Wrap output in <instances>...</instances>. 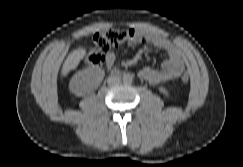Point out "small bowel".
I'll return each mask as SVG.
<instances>
[{"mask_svg":"<svg viewBox=\"0 0 243 167\" xmlns=\"http://www.w3.org/2000/svg\"><path fill=\"white\" fill-rule=\"evenodd\" d=\"M131 38L129 46L149 44L167 54V59L160 68L144 67L139 71V76L152 85L177 79L185 70L181 51L163 36L142 29H130ZM116 53L109 52L106 55V65L112 67L116 61Z\"/></svg>","mask_w":243,"mask_h":167,"instance_id":"small-bowel-1","label":"small bowel"}]
</instances>
